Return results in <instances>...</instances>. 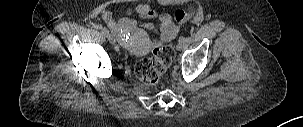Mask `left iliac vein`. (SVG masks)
I'll return each mask as SVG.
<instances>
[{
    "mask_svg": "<svg viewBox=\"0 0 303 127\" xmlns=\"http://www.w3.org/2000/svg\"><path fill=\"white\" fill-rule=\"evenodd\" d=\"M187 47H188V44H187L185 38H184V37H180V38H179V41H178V44H177V49H178L179 51H183V50H185Z\"/></svg>",
    "mask_w": 303,
    "mask_h": 127,
    "instance_id": "4c4485c4",
    "label": "left iliac vein"
}]
</instances>
